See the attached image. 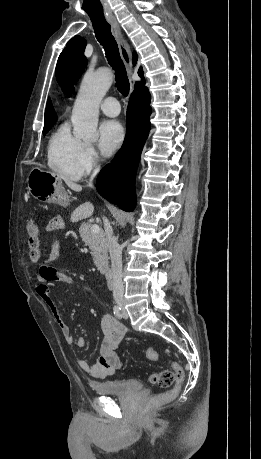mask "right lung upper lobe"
Returning a JSON list of instances; mask_svg holds the SVG:
<instances>
[{"mask_svg": "<svg viewBox=\"0 0 261 459\" xmlns=\"http://www.w3.org/2000/svg\"><path fill=\"white\" fill-rule=\"evenodd\" d=\"M136 61H137V55L134 54L133 56V64L135 65L136 64ZM138 75L142 78L143 80V70H142V67L139 68L138 70ZM140 89H145V87L143 86L142 83L140 82H136V85H135V91H138ZM134 91V92H135ZM56 120V115H55V112H54V109L52 107V104H51V101L50 99L48 100L47 102V106H46V111H45V124H50Z\"/></svg>", "mask_w": 261, "mask_h": 459, "instance_id": "cb5924a9", "label": "right lung upper lobe"}]
</instances>
